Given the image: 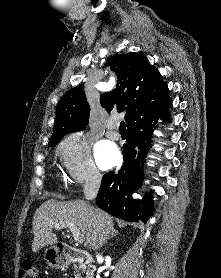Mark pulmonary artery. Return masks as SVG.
Wrapping results in <instances>:
<instances>
[{
  "instance_id": "e3ab8cb5",
  "label": "pulmonary artery",
  "mask_w": 221,
  "mask_h": 278,
  "mask_svg": "<svg viewBox=\"0 0 221 278\" xmlns=\"http://www.w3.org/2000/svg\"><path fill=\"white\" fill-rule=\"evenodd\" d=\"M108 131H107V135L109 138L117 140L120 138V134L118 132V130L116 129L117 127V123L115 121H110L108 122Z\"/></svg>"
}]
</instances>
